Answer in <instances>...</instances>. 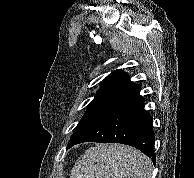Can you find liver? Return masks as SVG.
Segmentation results:
<instances>
[{"label": "liver", "mask_w": 194, "mask_h": 178, "mask_svg": "<svg viewBox=\"0 0 194 178\" xmlns=\"http://www.w3.org/2000/svg\"><path fill=\"white\" fill-rule=\"evenodd\" d=\"M152 169L151 160L133 147L100 144L78 158L70 178H151Z\"/></svg>", "instance_id": "6515ba94"}]
</instances>
